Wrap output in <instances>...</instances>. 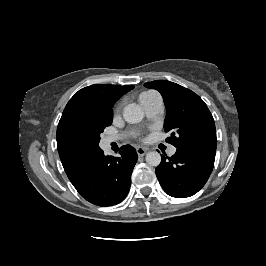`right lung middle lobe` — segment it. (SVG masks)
Returning a JSON list of instances; mask_svg holds the SVG:
<instances>
[{
	"label": "right lung middle lobe",
	"instance_id": "1",
	"mask_svg": "<svg viewBox=\"0 0 266 266\" xmlns=\"http://www.w3.org/2000/svg\"><path fill=\"white\" fill-rule=\"evenodd\" d=\"M112 124V112L101 115L91 122L87 129L75 137V141L80 145H85L93 149H100L98 144L100 134L105 127Z\"/></svg>",
	"mask_w": 266,
	"mask_h": 266
}]
</instances>
